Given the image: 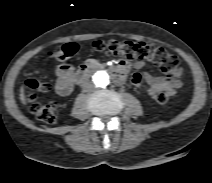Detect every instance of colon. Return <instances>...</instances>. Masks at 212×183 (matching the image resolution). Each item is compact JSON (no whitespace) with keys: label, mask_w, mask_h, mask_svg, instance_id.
<instances>
[{"label":"colon","mask_w":212,"mask_h":183,"mask_svg":"<svg viewBox=\"0 0 212 183\" xmlns=\"http://www.w3.org/2000/svg\"><path fill=\"white\" fill-rule=\"evenodd\" d=\"M92 49L95 52H108L126 60H149L155 63L159 69L169 77L180 75L178 58L166 49L132 41H94ZM78 50L75 43L57 45L50 50L49 55L58 60H65L72 57ZM68 66V65H64ZM28 89L27 99L30 103L32 113L41 121L52 123L57 117V104L54 101L44 102L41 96L49 91L50 86L43 76L33 77L26 82ZM153 100L158 104H165L169 95L158 92L153 95Z\"/></svg>","instance_id":"1"}]
</instances>
